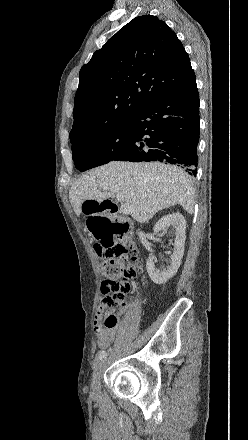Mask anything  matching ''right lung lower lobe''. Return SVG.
I'll return each instance as SVG.
<instances>
[{
    "label": "right lung lower lobe",
    "instance_id": "1",
    "mask_svg": "<svg viewBox=\"0 0 248 440\" xmlns=\"http://www.w3.org/2000/svg\"><path fill=\"white\" fill-rule=\"evenodd\" d=\"M199 96L196 81L141 107L130 119L133 132L120 161H160L197 173Z\"/></svg>",
    "mask_w": 248,
    "mask_h": 440
}]
</instances>
